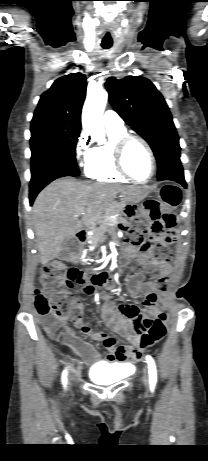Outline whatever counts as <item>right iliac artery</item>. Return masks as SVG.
<instances>
[{"label": "right iliac artery", "mask_w": 208, "mask_h": 461, "mask_svg": "<svg viewBox=\"0 0 208 461\" xmlns=\"http://www.w3.org/2000/svg\"><path fill=\"white\" fill-rule=\"evenodd\" d=\"M66 376H67V370H64L63 374H62V383H63V385H66V383H67Z\"/></svg>", "instance_id": "82829eb1"}]
</instances>
